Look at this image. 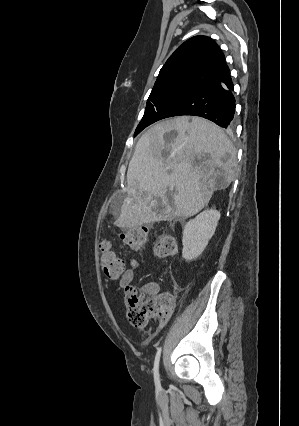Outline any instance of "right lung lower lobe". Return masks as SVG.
Segmentation results:
<instances>
[{"mask_svg":"<svg viewBox=\"0 0 299 426\" xmlns=\"http://www.w3.org/2000/svg\"><path fill=\"white\" fill-rule=\"evenodd\" d=\"M233 84L229 72L212 79L177 100L160 116L195 115L209 119L221 127H228L235 113Z\"/></svg>","mask_w":299,"mask_h":426,"instance_id":"98d812e1","label":"right lung lower lobe"}]
</instances>
